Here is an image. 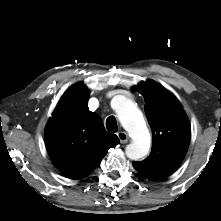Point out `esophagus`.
Segmentation results:
<instances>
[{
    "label": "esophagus",
    "mask_w": 221,
    "mask_h": 221,
    "mask_svg": "<svg viewBox=\"0 0 221 221\" xmlns=\"http://www.w3.org/2000/svg\"><path fill=\"white\" fill-rule=\"evenodd\" d=\"M120 143L125 144L128 141V135L124 131H120L117 133Z\"/></svg>",
    "instance_id": "1"
}]
</instances>
